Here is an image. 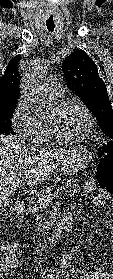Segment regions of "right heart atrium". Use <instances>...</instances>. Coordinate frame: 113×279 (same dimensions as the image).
Returning a JSON list of instances; mask_svg holds the SVG:
<instances>
[{"label":"right heart atrium","mask_w":113,"mask_h":279,"mask_svg":"<svg viewBox=\"0 0 113 279\" xmlns=\"http://www.w3.org/2000/svg\"><path fill=\"white\" fill-rule=\"evenodd\" d=\"M11 125L14 131L23 138L34 140L38 131L37 118L31 113L24 97L19 98L13 109Z\"/></svg>","instance_id":"right-heart-atrium-1"}]
</instances>
